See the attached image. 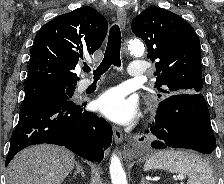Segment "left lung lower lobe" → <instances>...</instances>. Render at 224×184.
<instances>
[{"mask_svg": "<svg viewBox=\"0 0 224 184\" xmlns=\"http://www.w3.org/2000/svg\"><path fill=\"white\" fill-rule=\"evenodd\" d=\"M151 133L158 139L151 146L157 149L187 148L210 154L216 147L209 110L201 93L164 98Z\"/></svg>", "mask_w": 224, "mask_h": 184, "instance_id": "obj_1", "label": "left lung lower lobe"}]
</instances>
